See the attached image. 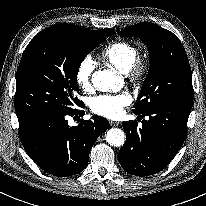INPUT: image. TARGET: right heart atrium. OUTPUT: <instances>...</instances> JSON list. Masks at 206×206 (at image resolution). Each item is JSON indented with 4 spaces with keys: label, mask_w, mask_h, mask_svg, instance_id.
<instances>
[{
    "label": "right heart atrium",
    "mask_w": 206,
    "mask_h": 206,
    "mask_svg": "<svg viewBox=\"0 0 206 206\" xmlns=\"http://www.w3.org/2000/svg\"><path fill=\"white\" fill-rule=\"evenodd\" d=\"M95 69L96 63L90 56L84 57L78 64L75 79L82 90L89 91L92 89V76Z\"/></svg>",
    "instance_id": "d8ad5b80"
}]
</instances>
